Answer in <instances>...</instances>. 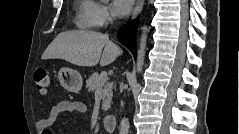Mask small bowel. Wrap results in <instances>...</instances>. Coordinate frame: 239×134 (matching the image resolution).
Returning <instances> with one entry per match:
<instances>
[{"instance_id":"obj_1","label":"small bowel","mask_w":239,"mask_h":134,"mask_svg":"<svg viewBox=\"0 0 239 134\" xmlns=\"http://www.w3.org/2000/svg\"><path fill=\"white\" fill-rule=\"evenodd\" d=\"M66 112L84 114L87 106L79 101H61L53 105L48 116L38 122V130L41 134H52L51 127L56 123L58 117Z\"/></svg>"}]
</instances>
